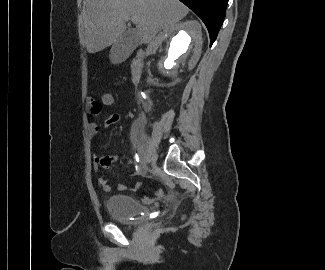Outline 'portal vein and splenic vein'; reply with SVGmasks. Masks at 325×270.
<instances>
[{"instance_id": "portal-vein-and-splenic-vein-1", "label": "portal vein and splenic vein", "mask_w": 325, "mask_h": 270, "mask_svg": "<svg viewBox=\"0 0 325 270\" xmlns=\"http://www.w3.org/2000/svg\"><path fill=\"white\" fill-rule=\"evenodd\" d=\"M127 20H131L135 24H137L139 22V20L137 19V17H128Z\"/></svg>"}]
</instances>
